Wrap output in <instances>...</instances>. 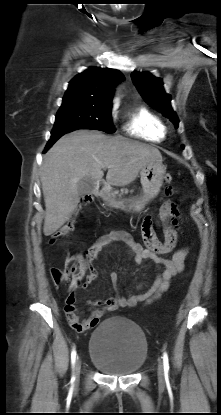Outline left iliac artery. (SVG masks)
<instances>
[{
    "instance_id": "44dca946",
    "label": "left iliac artery",
    "mask_w": 221,
    "mask_h": 415,
    "mask_svg": "<svg viewBox=\"0 0 221 415\" xmlns=\"http://www.w3.org/2000/svg\"><path fill=\"white\" fill-rule=\"evenodd\" d=\"M163 365H164L165 376H168V372H169V359H168V355H167L166 352H164V354H163Z\"/></svg>"
}]
</instances>
